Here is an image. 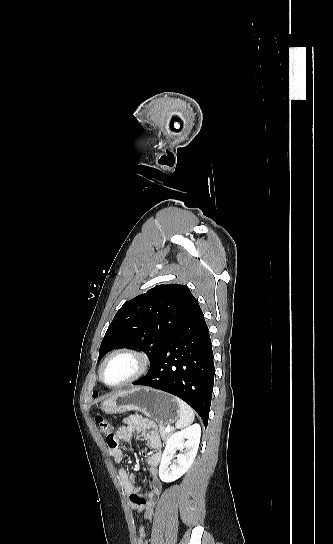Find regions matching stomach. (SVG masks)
Masks as SVG:
<instances>
[{
  "label": "stomach",
  "mask_w": 333,
  "mask_h": 544,
  "mask_svg": "<svg viewBox=\"0 0 333 544\" xmlns=\"http://www.w3.org/2000/svg\"><path fill=\"white\" fill-rule=\"evenodd\" d=\"M101 408L109 414L139 411L149 418H155L159 425L170 424L179 417V406L174 396L141 386L117 392L106 399Z\"/></svg>",
  "instance_id": "obj_1"
}]
</instances>
